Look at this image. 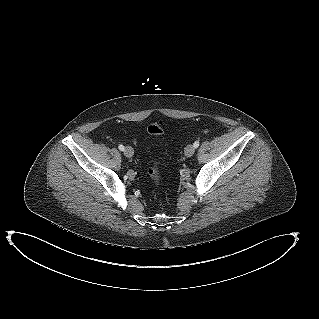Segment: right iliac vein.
Listing matches in <instances>:
<instances>
[{"label":"right iliac vein","mask_w":319,"mask_h":319,"mask_svg":"<svg viewBox=\"0 0 319 319\" xmlns=\"http://www.w3.org/2000/svg\"><path fill=\"white\" fill-rule=\"evenodd\" d=\"M124 155H125L126 157H128V158L133 157V155H134V150H133V148L130 147V146H127V147L125 148V150H124Z\"/></svg>","instance_id":"1"}]
</instances>
